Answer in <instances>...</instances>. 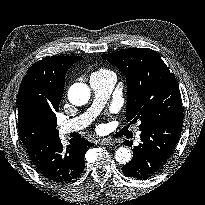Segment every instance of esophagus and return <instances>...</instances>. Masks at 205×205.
Masks as SVG:
<instances>
[{"instance_id":"1","label":"esophagus","mask_w":205,"mask_h":205,"mask_svg":"<svg viewBox=\"0 0 205 205\" xmlns=\"http://www.w3.org/2000/svg\"><path fill=\"white\" fill-rule=\"evenodd\" d=\"M99 143L104 144L106 146H110V145H114L115 141L110 140V139H103V140H100Z\"/></svg>"}]
</instances>
